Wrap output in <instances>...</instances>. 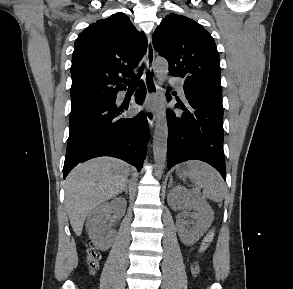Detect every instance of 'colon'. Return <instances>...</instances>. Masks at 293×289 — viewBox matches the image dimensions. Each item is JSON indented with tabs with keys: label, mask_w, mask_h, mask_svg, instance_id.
Returning <instances> with one entry per match:
<instances>
[{
	"label": "colon",
	"mask_w": 293,
	"mask_h": 289,
	"mask_svg": "<svg viewBox=\"0 0 293 289\" xmlns=\"http://www.w3.org/2000/svg\"><path fill=\"white\" fill-rule=\"evenodd\" d=\"M215 235V230L210 229L206 235L203 237L202 242L199 247V252L203 253L204 251L207 250V248L211 245L213 242ZM100 260V253L97 249H95L92 246L87 247L86 251V263L91 271H95L98 267V263ZM191 270L193 274L198 275L200 272V266L198 260H194L191 264Z\"/></svg>",
	"instance_id": "5ec220e1"
}]
</instances>
